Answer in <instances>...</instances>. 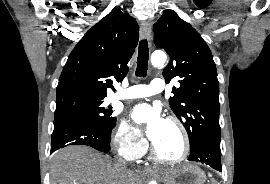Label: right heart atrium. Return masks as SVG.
Masks as SVG:
<instances>
[{
  "label": "right heart atrium",
  "instance_id": "right-heart-atrium-1",
  "mask_svg": "<svg viewBox=\"0 0 270 184\" xmlns=\"http://www.w3.org/2000/svg\"><path fill=\"white\" fill-rule=\"evenodd\" d=\"M113 142L117 153L127 160H136L147 150L146 140L125 121L119 125Z\"/></svg>",
  "mask_w": 270,
  "mask_h": 184
}]
</instances>
